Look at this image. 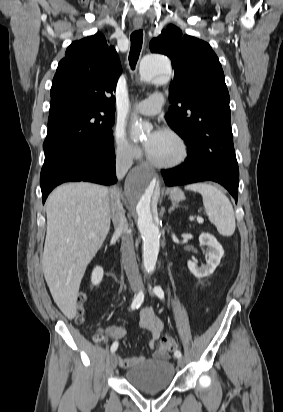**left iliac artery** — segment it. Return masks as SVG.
I'll return each instance as SVG.
<instances>
[{
    "label": "left iliac artery",
    "instance_id": "obj_1",
    "mask_svg": "<svg viewBox=\"0 0 283 412\" xmlns=\"http://www.w3.org/2000/svg\"><path fill=\"white\" fill-rule=\"evenodd\" d=\"M154 292V294L156 296H158L161 300L164 299V291L162 290V288L160 286H155L152 290ZM175 357L177 358H181L182 354L179 350H176L174 352Z\"/></svg>",
    "mask_w": 283,
    "mask_h": 412
}]
</instances>
